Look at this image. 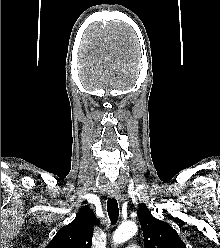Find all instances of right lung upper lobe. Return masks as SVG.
I'll use <instances>...</instances> for the list:
<instances>
[{
	"label": "right lung upper lobe",
	"instance_id": "cb5924a9",
	"mask_svg": "<svg viewBox=\"0 0 220 248\" xmlns=\"http://www.w3.org/2000/svg\"><path fill=\"white\" fill-rule=\"evenodd\" d=\"M93 211L83 207L75 219L62 227L46 248H91L93 226L99 225Z\"/></svg>",
	"mask_w": 220,
	"mask_h": 248
}]
</instances>
